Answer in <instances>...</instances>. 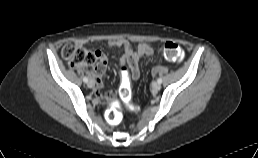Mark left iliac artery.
<instances>
[{
    "instance_id": "44dca946",
    "label": "left iliac artery",
    "mask_w": 258,
    "mask_h": 158,
    "mask_svg": "<svg viewBox=\"0 0 258 158\" xmlns=\"http://www.w3.org/2000/svg\"><path fill=\"white\" fill-rule=\"evenodd\" d=\"M157 82L161 84V83H162V79H161V78H158V79H157Z\"/></svg>"
}]
</instances>
